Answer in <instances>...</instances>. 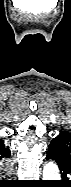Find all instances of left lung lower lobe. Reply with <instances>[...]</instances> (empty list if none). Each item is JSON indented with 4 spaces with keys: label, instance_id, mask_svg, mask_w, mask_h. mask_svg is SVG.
Masks as SVG:
<instances>
[{
    "label": "left lung lower lobe",
    "instance_id": "left-lung-lower-lobe-1",
    "mask_svg": "<svg viewBox=\"0 0 71 187\" xmlns=\"http://www.w3.org/2000/svg\"><path fill=\"white\" fill-rule=\"evenodd\" d=\"M46 158L47 160H53L58 164L63 180H66L67 177L71 175V163L67 162L57 152L48 150Z\"/></svg>",
    "mask_w": 71,
    "mask_h": 187
}]
</instances>
